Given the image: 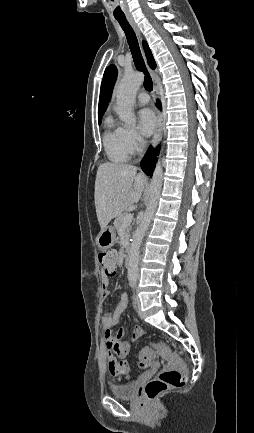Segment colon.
Segmentation results:
<instances>
[{"label": "colon", "mask_w": 254, "mask_h": 433, "mask_svg": "<svg viewBox=\"0 0 254 433\" xmlns=\"http://www.w3.org/2000/svg\"><path fill=\"white\" fill-rule=\"evenodd\" d=\"M99 263L103 267L107 276L116 274V252L113 250L103 251L99 253ZM143 330L141 329V336ZM153 360L152 354L149 351H144L140 355V365L148 366ZM186 379V367L182 362H175L165 368L156 378L149 381L143 392L149 399H155L162 393L170 389L181 388Z\"/></svg>", "instance_id": "5ec220e1"}]
</instances>
